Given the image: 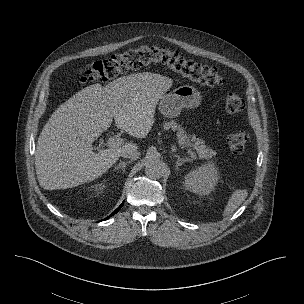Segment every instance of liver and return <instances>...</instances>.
I'll return each mask as SVG.
<instances>
[{
    "label": "liver",
    "mask_w": 304,
    "mask_h": 304,
    "mask_svg": "<svg viewBox=\"0 0 304 304\" xmlns=\"http://www.w3.org/2000/svg\"><path fill=\"white\" fill-rule=\"evenodd\" d=\"M173 84L156 73L120 77L106 86L90 85L60 105L39 135L35 168L39 185L46 190L76 187L105 173L136 144L94 152L92 143L114 118L118 128L136 138H145L154 123L159 99Z\"/></svg>",
    "instance_id": "6515ba94"
}]
</instances>
